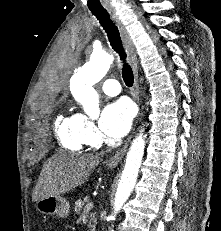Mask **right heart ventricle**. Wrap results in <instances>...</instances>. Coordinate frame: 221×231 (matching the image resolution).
Returning <instances> with one entry per match:
<instances>
[{
    "label": "right heart ventricle",
    "mask_w": 221,
    "mask_h": 231,
    "mask_svg": "<svg viewBox=\"0 0 221 231\" xmlns=\"http://www.w3.org/2000/svg\"><path fill=\"white\" fill-rule=\"evenodd\" d=\"M56 128L58 140L64 148L79 151L86 144L82 135V124L79 114L66 113L60 115Z\"/></svg>",
    "instance_id": "right-heart-ventricle-1"
}]
</instances>
